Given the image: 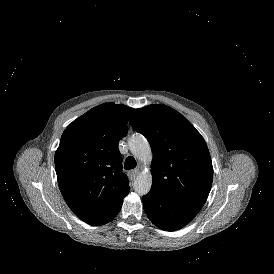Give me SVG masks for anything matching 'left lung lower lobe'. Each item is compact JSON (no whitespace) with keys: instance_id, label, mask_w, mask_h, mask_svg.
<instances>
[{"instance_id":"0a47b994","label":"left lung lower lobe","mask_w":274,"mask_h":274,"mask_svg":"<svg viewBox=\"0 0 274 274\" xmlns=\"http://www.w3.org/2000/svg\"><path fill=\"white\" fill-rule=\"evenodd\" d=\"M144 210L153 224L166 231H175L189 223L201 207L180 202L151 188L142 197Z\"/></svg>"}]
</instances>
